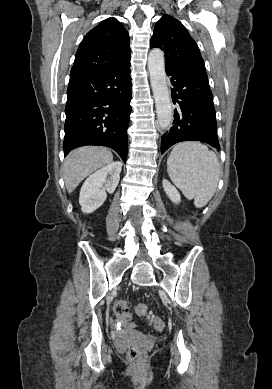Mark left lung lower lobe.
Here are the masks:
<instances>
[{
  "mask_svg": "<svg viewBox=\"0 0 272 389\" xmlns=\"http://www.w3.org/2000/svg\"><path fill=\"white\" fill-rule=\"evenodd\" d=\"M165 70L174 87L171 96L177 108L172 128L162 136L161 153L183 141H201L220 150L213 96L206 71Z\"/></svg>",
  "mask_w": 272,
  "mask_h": 389,
  "instance_id": "left-lung-lower-lobe-1",
  "label": "left lung lower lobe"
}]
</instances>
